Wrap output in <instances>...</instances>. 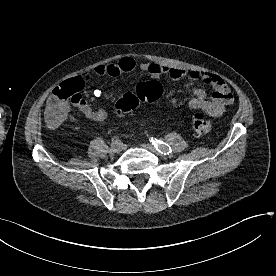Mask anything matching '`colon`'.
<instances>
[{"mask_svg":"<svg viewBox=\"0 0 276 276\" xmlns=\"http://www.w3.org/2000/svg\"><path fill=\"white\" fill-rule=\"evenodd\" d=\"M83 82L78 78L61 83L55 87L50 96V106L46 107L47 123L56 127L66 118L68 103L76 102L81 97ZM162 86L157 81L142 82L137 85L134 93L124 94L114 105V112L119 117H125L135 110L141 102L158 104L162 96ZM191 125L196 134H207L212 130L211 122L199 111L191 117Z\"/></svg>","mask_w":276,"mask_h":276,"instance_id":"obj_1","label":"colon"}]
</instances>
